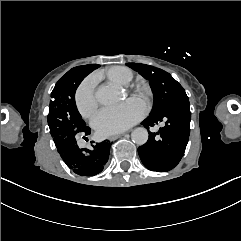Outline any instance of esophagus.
Instances as JSON below:
<instances>
[{
  "instance_id": "1",
  "label": "esophagus",
  "mask_w": 241,
  "mask_h": 241,
  "mask_svg": "<svg viewBox=\"0 0 241 241\" xmlns=\"http://www.w3.org/2000/svg\"><path fill=\"white\" fill-rule=\"evenodd\" d=\"M123 135H124V133L116 134V135L110 136L108 139L110 141H115L116 139L122 137Z\"/></svg>"
}]
</instances>
